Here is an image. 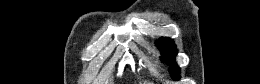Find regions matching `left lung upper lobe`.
I'll use <instances>...</instances> for the list:
<instances>
[{
	"instance_id": "5c2ea615",
	"label": "left lung upper lobe",
	"mask_w": 260,
	"mask_h": 84,
	"mask_svg": "<svg viewBox=\"0 0 260 84\" xmlns=\"http://www.w3.org/2000/svg\"><path fill=\"white\" fill-rule=\"evenodd\" d=\"M157 46L162 53V62H166L170 68L171 77L175 80L179 79L180 68L176 66L174 57L177 54L174 42L167 38H161L157 41Z\"/></svg>"
}]
</instances>
